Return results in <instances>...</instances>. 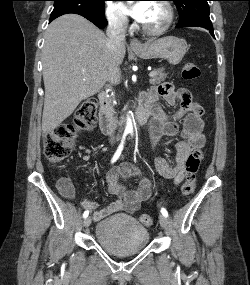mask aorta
Here are the masks:
<instances>
[{
  "label": "aorta",
  "mask_w": 250,
  "mask_h": 285,
  "mask_svg": "<svg viewBox=\"0 0 250 285\" xmlns=\"http://www.w3.org/2000/svg\"><path fill=\"white\" fill-rule=\"evenodd\" d=\"M133 132V125H132V121L130 118L127 119V125L125 128V133H132Z\"/></svg>",
  "instance_id": "762f6f07"
}]
</instances>
